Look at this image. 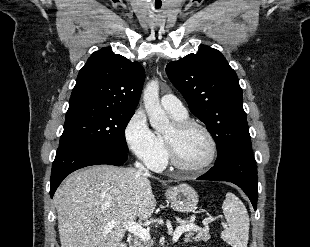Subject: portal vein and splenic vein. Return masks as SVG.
<instances>
[{"label":"portal vein and splenic vein","mask_w":310,"mask_h":247,"mask_svg":"<svg viewBox=\"0 0 310 247\" xmlns=\"http://www.w3.org/2000/svg\"><path fill=\"white\" fill-rule=\"evenodd\" d=\"M118 223L116 221H111L105 226V230H111L114 228ZM126 230L137 236L138 238L149 241L151 239L150 233L148 230L142 228L139 224L135 222H129L128 224L123 225ZM200 228L194 224H187V225H180L176 228L175 232L173 233V242H177L182 233L188 232V231H198Z\"/></svg>","instance_id":"18ae733b"}]
</instances>
